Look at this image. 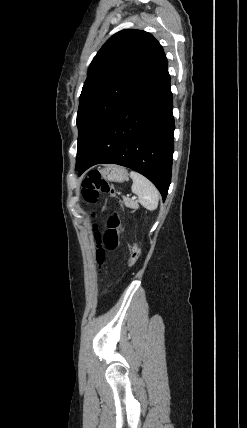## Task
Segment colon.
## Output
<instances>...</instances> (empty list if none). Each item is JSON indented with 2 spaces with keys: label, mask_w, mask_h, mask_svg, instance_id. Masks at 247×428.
<instances>
[{
  "label": "colon",
  "mask_w": 247,
  "mask_h": 428,
  "mask_svg": "<svg viewBox=\"0 0 247 428\" xmlns=\"http://www.w3.org/2000/svg\"><path fill=\"white\" fill-rule=\"evenodd\" d=\"M101 195L115 197L116 191L113 185L103 179L98 172H91L83 179L82 196L87 203L94 204ZM123 232V218L119 212H114L108 219L107 230L103 237L99 234L95 236L97 241L96 261L99 266L105 261V249L115 251L122 246ZM126 247L130 254V263L134 265L141 255V250L135 244H127Z\"/></svg>",
  "instance_id": "colon-1"
}]
</instances>
